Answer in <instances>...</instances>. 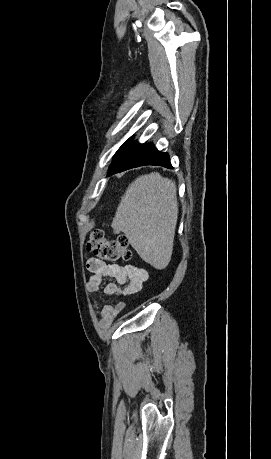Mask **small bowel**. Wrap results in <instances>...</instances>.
Here are the masks:
<instances>
[{
  "label": "small bowel",
  "mask_w": 271,
  "mask_h": 459,
  "mask_svg": "<svg viewBox=\"0 0 271 459\" xmlns=\"http://www.w3.org/2000/svg\"><path fill=\"white\" fill-rule=\"evenodd\" d=\"M87 269L91 273L87 289L92 293L102 292L110 297L133 295L142 288L148 278V273L143 268L134 265L107 264L96 258L88 260ZM106 279H112L114 282L101 288ZM125 307L126 304L123 301H118L115 305L104 306L101 312V326L103 328L110 326Z\"/></svg>",
  "instance_id": "small-bowel-1"
}]
</instances>
